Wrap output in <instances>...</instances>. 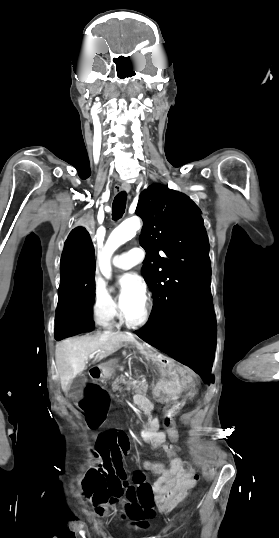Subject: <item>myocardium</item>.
I'll list each match as a JSON object with an SVG mask.
<instances>
[{
    "mask_svg": "<svg viewBox=\"0 0 279 538\" xmlns=\"http://www.w3.org/2000/svg\"><path fill=\"white\" fill-rule=\"evenodd\" d=\"M101 220H102V217L99 216V222H101ZM142 229H143V224L138 225L135 221L133 232L130 234V236H134L137 233H140ZM143 302H144L143 311L139 317L133 319V318L127 317L123 311L121 313V320L123 321L125 325H127L131 329L142 328L150 320L151 311H152V304H151L150 298L144 297Z\"/></svg>",
    "mask_w": 279,
    "mask_h": 538,
    "instance_id": "obj_1",
    "label": "myocardium"
}]
</instances>
